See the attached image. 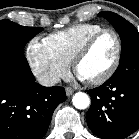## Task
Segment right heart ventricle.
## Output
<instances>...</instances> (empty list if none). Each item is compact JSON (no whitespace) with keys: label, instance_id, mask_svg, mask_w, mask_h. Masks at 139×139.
<instances>
[{"label":"right heart ventricle","instance_id":"obj_1","mask_svg":"<svg viewBox=\"0 0 139 139\" xmlns=\"http://www.w3.org/2000/svg\"><path fill=\"white\" fill-rule=\"evenodd\" d=\"M102 28L95 23L77 24L52 33L44 40L57 55L70 63L86 39Z\"/></svg>","mask_w":139,"mask_h":139}]
</instances>
